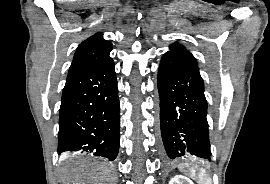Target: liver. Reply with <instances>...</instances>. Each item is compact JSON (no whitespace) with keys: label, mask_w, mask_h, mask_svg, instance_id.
Returning <instances> with one entry per match:
<instances>
[{"label":"liver","mask_w":270,"mask_h":184,"mask_svg":"<svg viewBox=\"0 0 270 184\" xmlns=\"http://www.w3.org/2000/svg\"><path fill=\"white\" fill-rule=\"evenodd\" d=\"M60 180L62 184H115L116 176L110 164L101 162L63 170Z\"/></svg>","instance_id":"liver-1"}]
</instances>
